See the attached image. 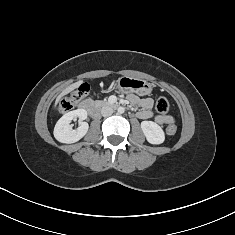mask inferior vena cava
I'll return each instance as SVG.
<instances>
[{
	"label": "inferior vena cava",
	"instance_id": "obj_1",
	"mask_svg": "<svg viewBox=\"0 0 235 235\" xmlns=\"http://www.w3.org/2000/svg\"><path fill=\"white\" fill-rule=\"evenodd\" d=\"M112 113H113V109L110 106H104L101 109V114L103 117H108V116L112 115Z\"/></svg>",
	"mask_w": 235,
	"mask_h": 235
}]
</instances>
